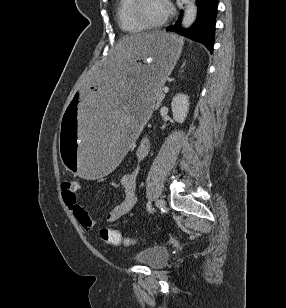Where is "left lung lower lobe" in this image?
Returning a JSON list of instances; mask_svg holds the SVG:
<instances>
[{"instance_id":"obj_1","label":"left lung lower lobe","mask_w":286,"mask_h":308,"mask_svg":"<svg viewBox=\"0 0 286 308\" xmlns=\"http://www.w3.org/2000/svg\"><path fill=\"white\" fill-rule=\"evenodd\" d=\"M197 1V18L195 23L188 29L181 27L182 14L177 22L167 27V31H175L186 37L204 44L212 53L214 45V32L216 23V14L218 7V0H196Z\"/></svg>"}]
</instances>
